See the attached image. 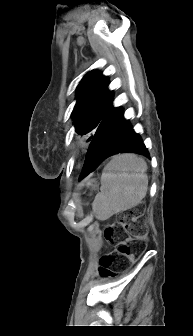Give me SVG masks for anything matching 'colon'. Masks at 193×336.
Returning <instances> with one entry per match:
<instances>
[{
	"label": "colon",
	"mask_w": 193,
	"mask_h": 336,
	"mask_svg": "<svg viewBox=\"0 0 193 336\" xmlns=\"http://www.w3.org/2000/svg\"><path fill=\"white\" fill-rule=\"evenodd\" d=\"M148 229L139 219L136 210H128L118 214L114 223L104 231L105 239L116 245L114 252H108L99 260L100 272L103 276H111L112 267L117 256L124 258L135 257L142 249Z\"/></svg>",
	"instance_id": "5ec220e1"
}]
</instances>
